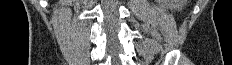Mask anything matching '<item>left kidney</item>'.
<instances>
[{"instance_id": "5707ae66", "label": "left kidney", "mask_w": 232, "mask_h": 65, "mask_svg": "<svg viewBox=\"0 0 232 65\" xmlns=\"http://www.w3.org/2000/svg\"><path fill=\"white\" fill-rule=\"evenodd\" d=\"M167 8L173 10H181L185 5V0H161Z\"/></svg>"}]
</instances>
